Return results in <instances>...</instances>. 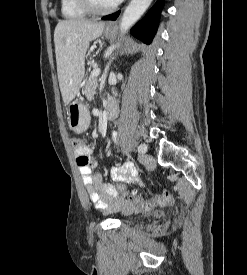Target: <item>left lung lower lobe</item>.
Segmentation results:
<instances>
[{
    "label": "left lung lower lobe",
    "instance_id": "0a47b994",
    "mask_svg": "<svg viewBox=\"0 0 247 275\" xmlns=\"http://www.w3.org/2000/svg\"><path fill=\"white\" fill-rule=\"evenodd\" d=\"M163 6V0H158L156 4L150 9L146 16L137 23L132 29L131 34L143 41L146 44H150L155 35L158 27L159 16ZM120 11L102 17L103 20H116Z\"/></svg>",
    "mask_w": 247,
    "mask_h": 275
}]
</instances>
